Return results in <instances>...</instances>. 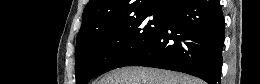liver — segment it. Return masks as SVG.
<instances>
[{
	"label": "liver",
	"mask_w": 260,
	"mask_h": 84,
	"mask_svg": "<svg viewBox=\"0 0 260 84\" xmlns=\"http://www.w3.org/2000/svg\"><path fill=\"white\" fill-rule=\"evenodd\" d=\"M96 84H204L196 77L150 67H124L106 74Z\"/></svg>",
	"instance_id": "6515ba94"
}]
</instances>
